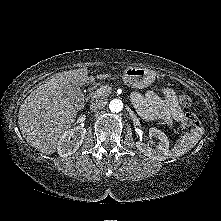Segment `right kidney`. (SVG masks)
Instances as JSON below:
<instances>
[{
	"mask_svg": "<svg viewBox=\"0 0 221 221\" xmlns=\"http://www.w3.org/2000/svg\"><path fill=\"white\" fill-rule=\"evenodd\" d=\"M85 134L86 129L78 126L65 131L57 144L59 156L65 158L74 154L82 145Z\"/></svg>",
	"mask_w": 221,
	"mask_h": 221,
	"instance_id": "right-kidney-1",
	"label": "right kidney"
}]
</instances>
